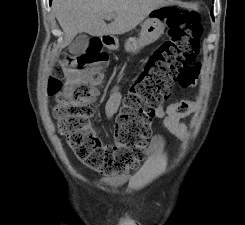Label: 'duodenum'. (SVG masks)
<instances>
[{"label":"duodenum","mask_w":245,"mask_h":225,"mask_svg":"<svg viewBox=\"0 0 245 225\" xmlns=\"http://www.w3.org/2000/svg\"><path fill=\"white\" fill-rule=\"evenodd\" d=\"M111 38L109 37V36H107V35H102V40L103 41H109Z\"/></svg>","instance_id":"410a0bca"}]
</instances>
